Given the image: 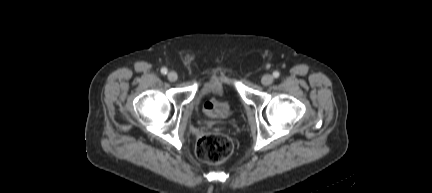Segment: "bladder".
I'll list each match as a JSON object with an SVG mask.
<instances>
[{
  "label": "bladder",
  "mask_w": 432,
  "mask_h": 193,
  "mask_svg": "<svg viewBox=\"0 0 432 193\" xmlns=\"http://www.w3.org/2000/svg\"><path fill=\"white\" fill-rule=\"evenodd\" d=\"M224 95H225V90L222 85L207 84L201 88L200 93L195 99V103L197 105H201L205 100L211 97L223 98Z\"/></svg>",
  "instance_id": "obj_1"
}]
</instances>
